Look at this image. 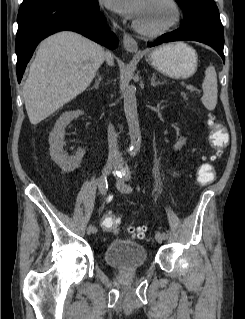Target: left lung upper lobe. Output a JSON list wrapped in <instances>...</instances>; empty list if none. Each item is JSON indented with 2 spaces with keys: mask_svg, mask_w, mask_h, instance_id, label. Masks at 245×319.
I'll list each match as a JSON object with an SVG mask.
<instances>
[{
  "mask_svg": "<svg viewBox=\"0 0 245 319\" xmlns=\"http://www.w3.org/2000/svg\"><path fill=\"white\" fill-rule=\"evenodd\" d=\"M184 13L181 25L206 24L223 31L218 8L214 0H176Z\"/></svg>",
  "mask_w": 245,
  "mask_h": 319,
  "instance_id": "obj_1",
  "label": "left lung upper lobe"
}]
</instances>
